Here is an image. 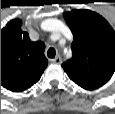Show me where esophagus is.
Returning a JSON list of instances; mask_svg holds the SVG:
<instances>
[{"mask_svg":"<svg viewBox=\"0 0 115 114\" xmlns=\"http://www.w3.org/2000/svg\"><path fill=\"white\" fill-rule=\"evenodd\" d=\"M52 63L54 64H61L62 63V59L60 56H57L56 58L51 60Z\"/></svg>","mask_w":115,"mask_h":114,"instance_id":"34e87169","label":"esophagus"}]
</instances>
